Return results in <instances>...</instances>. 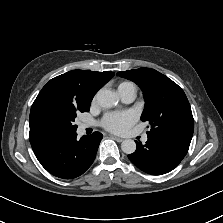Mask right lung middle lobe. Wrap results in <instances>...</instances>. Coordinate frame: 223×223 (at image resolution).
Instances as JSON below:
<instances>
[{
    "label": "right lung middle lobe",
    "mask_w": 223,
    "mask_h": 223,
    "mask_svg": "<svg viewBox=\"0 0 223 223\" xmlns=\"http://www.w3.org/2000/svg\"><path fill=\"white\" fill-rule=\"evenodd\" d=\"M88 111L51 97L36 99L30 111V141L52 142L74 134L77 114Z\"/></svg>",
    "instance_id": "right-lung-middle-lobe-1"
}]
</instances>
